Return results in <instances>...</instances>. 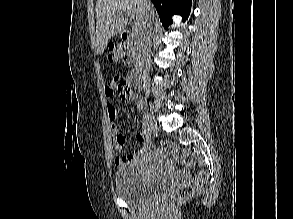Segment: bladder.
Instances as JSON below:
<instances>
[{
  "instance_id": "bladder-1",
  "label": "bladder",
  "mask_w": 293,
  "mask_h": 219,
  "mask_svg": "<svg viewBox=\"0 0 293 219\" xmlns=\"http://www.w3.org/2000/svg\"><path fill=\"white\" fill-rule=\"evenodd\" d=\"M117 195L129 205L141 206L165 189L168 180L147 176L139 166L126 165L114 173Z\"/></svg>"
}]
</instances>
